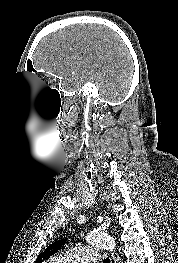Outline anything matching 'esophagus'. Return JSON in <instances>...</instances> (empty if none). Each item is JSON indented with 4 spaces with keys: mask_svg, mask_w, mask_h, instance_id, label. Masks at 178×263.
<instances>
[{
    "mask_svg": "<svg viewBox=\"0 0 178 263\" xmlns=\"http://www.w3.org/2000/svg\"><path fill=\"white\" fill-rule=\"evenodd\" d=\"M111 263H116V259L113 252H110Z\"/></svg>",
    "mask_w": 178,
    "mask_h": 263,
    "instance_id": "esophagus-1",
    "label": "esophagus"
}]
</instances>
